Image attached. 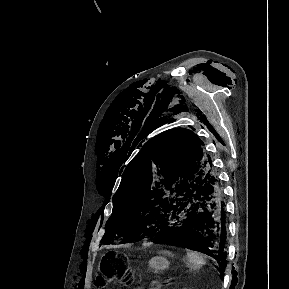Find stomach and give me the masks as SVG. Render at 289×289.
I'll use <instances>...</instances> for the list:
<instances>
[{
    "mask_svg": "<svg viewBox=\"0 0 289 289\" xmlns=\"http://www.w3.org/2000/svg\"><path fill=\"white\" fill-rule=\"evenodd\" d=\"M169 264V261L164 255L154 256L148 261L149 268L154 272L166 270Z\"/></svg>",
    "mask_w": 289,
    "mask_h": 289,
    "instance_id": "0dacf381",
    "label": "stomach"
}]
</instances>
